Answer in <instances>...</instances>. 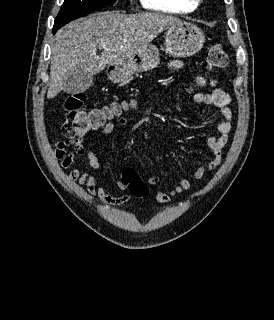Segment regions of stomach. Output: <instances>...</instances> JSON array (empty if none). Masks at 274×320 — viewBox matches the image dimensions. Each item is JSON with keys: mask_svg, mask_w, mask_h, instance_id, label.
I'll return each instance as SVG.
<instances>
[{"mask_svg": "<svg viewBox=\"0 0 274 320\" xmlns=\"http://www.w3.org/2000/svg\"><path fill=\"white\" fill-rule=\"evenodd\" d=\"M164 48L166 54L174 58H190L195 56L203 48L205 36L198 26L190 22H179L170 26L164 36ZM160 62V54L155 46H147L140 50L134 58L121 62V64H110L107 70L108 78L116 84L125 82L131 74L137 72H148L156 68Z\"/></svg>", "mask_w": 274, "mask_h": 320, "instance_id": "stomach-1", "label": "stomach"}]
</instances>
